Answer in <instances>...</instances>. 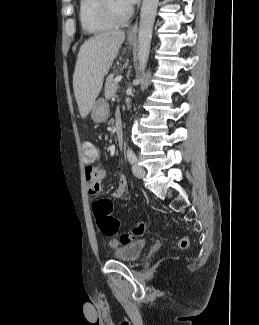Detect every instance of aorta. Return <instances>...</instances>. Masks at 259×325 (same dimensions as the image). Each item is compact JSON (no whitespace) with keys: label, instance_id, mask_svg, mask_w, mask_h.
I'll return each instance as SVG.
<instances>
[{"label":"aorta","instance_id":"1","mask_svg":"<svg viewBox=\"0 0 259 325\" xmlns=\"http://www.w3.org/2000/svg\"><path fill=\"white\" fill-rule=\"evenodd\" d=\"M159 0H143L138 30V60L140 70H144L150 53L153 26Z\"/></svg>","mask_w":259,"mask_h":325}]
</instances>
